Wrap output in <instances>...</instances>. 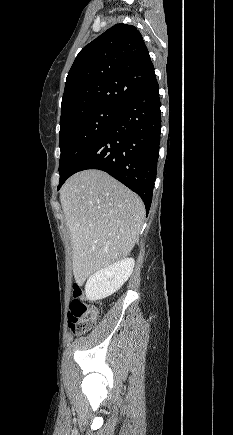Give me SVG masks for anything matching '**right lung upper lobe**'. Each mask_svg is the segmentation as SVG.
Wrapping results in <instances>:
<instances>
[{
  "label": "right lung upper lobe",
  "instance_id": "1",
  "mask_svg": "<svg viewBox=\"0 0 233 435\" xmlns=\"http://www.w3.org/2000/svg\"><path fill=\"white\" fill-rule=\"evenodd\" d=\"M155 77L140 32L116 24L77 55L66 78L60 122L101 106L122 108Z\"/></svg>",
  "mask_w": 233,
  "mask_h": 435
}]
</instances>
